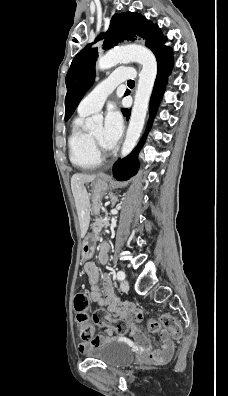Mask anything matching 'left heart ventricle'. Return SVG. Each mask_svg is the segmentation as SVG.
I'll list each match as a JSON object with an SVG mask.
<instances>
[{"mask_svg":"<svg viewBox=\"0 0 228 396\" xmlns=\"http://www.w3.org/2000/svg\"><path fill=\"white\" fill-rule=\"evenodd\" d=\"M92 134L105 148H110L104 141V127L102 125L93 130Z\"/></svg>","mask_w":228,"mask_h":396,"instance_id":"left-heart-ventricle-1","label":"left heart ventricle"}]
</instances>
